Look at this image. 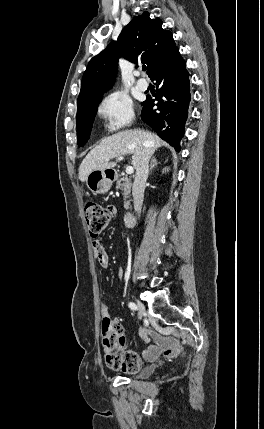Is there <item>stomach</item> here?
Listing matches in <instances>:
<instances>
[{
  "label": "stomach",
  "instance_id": "obj_1",
  "mask_svg": "<svg viewBox=\"0 0 264 429\" xmlns=\"http://www.w3.org/2000/svg\"><path fill=\"white\" fill-rule=\"evenodd\" d=\"M116 178L117 173L112 168L105 170H94L87 176L86 185L94 195L105 194L110 190Z\"/></svg>",
  "mask_w": 264,
  "mask_h": 429
}]
</instances>
